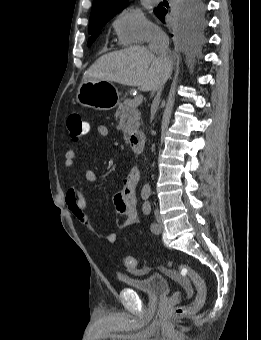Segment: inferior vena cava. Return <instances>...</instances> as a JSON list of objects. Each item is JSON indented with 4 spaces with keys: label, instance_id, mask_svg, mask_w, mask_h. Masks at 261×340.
Returning a JSON list of instances; mask_svg holds the SVG:
<instances>
[{
    "label": "inferior vena cava",
    "instance_id": "602c4592",
    "mask_svg": "<svg viewBox=\"0 0 261 340\" xmlns=\"http://www.w3.org/2000/svg\"><path fill=\"white\" fill-rule=\"evenodd\" d=\"M148 49L161 57H167L169 54V38L164 31L160 28H154L150 32ZM170 75V70L166 71L164 76L161 78L157 88L156 95L152 103V113L154 114L159 106L161 93L163 87Z\"/></svg>",
    "mask_w": 261,
    "mask_h": 340
}]
</instances>
